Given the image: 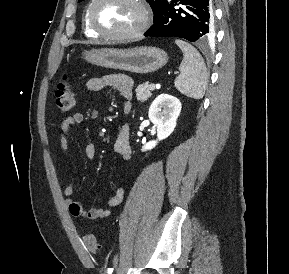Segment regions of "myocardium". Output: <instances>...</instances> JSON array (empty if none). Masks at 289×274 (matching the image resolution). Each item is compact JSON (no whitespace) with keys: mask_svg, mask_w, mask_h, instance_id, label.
<instances>
[{"mask_svg":"<svg viewBox=\"0 0 289 274\" xmlns=\"http://www.w3.org/2000/svg\"><path fill=\"white\" fill-rule=\"evenodd\" d=\"M101 1L102 0H92L87 10V19H88L89 26L99 36L110 39V40H115V41H128V40H133V39L140 37L147 30L149 26V22H150V14H149L148 7L145 4L144 0H131V2L137 5L141 14L140 23L135 29L126 33H111V32L102 30L96 24L94 20V15H93L94 8Z\"/></svg>","mask_w":289,"mask_h":274,"instance_id":"myocardium-1","label":"myocardium"}]
</instances>
